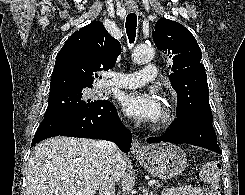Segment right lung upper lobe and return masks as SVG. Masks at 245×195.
Masks as SVG:
<instances>
[{"label": "right lung upper lobe", "instance_id": "cb5924a9", "mask_svg": "<svg viewBox=\"0 0 245 195\" xmlns=\"http://www.w3.org/2000/svg\"><path fill=\"white\" fill-rule=\"evenodd\" d=\"M121 45L101 22L74 32L58 53L51 77L50 93L73 87H89L97 71L112 68Z\"/></svg>", "mask_w": 245, "mask_h": 195}]
</instances>
